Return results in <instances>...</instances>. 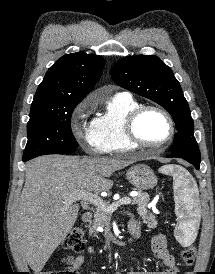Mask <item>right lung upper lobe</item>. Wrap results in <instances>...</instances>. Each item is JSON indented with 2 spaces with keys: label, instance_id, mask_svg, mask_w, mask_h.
<instances>
[{
  "label": "right lung upper lobe",
  "instance_id": "1",
  "mask_svg": "<svg viewBox=\"0 0 215 274\" xmlns=\"http://www.w3.org/2000/svg\"><path fill=\"white\" fill-rule=\"evenodd\" d=\"M104 59L83 52L58 59L47 71L32 103L81 102L96 84Z\"/></svg>",
  "mask_w": 215,
  "mask_h": 274
}]
</instances>
